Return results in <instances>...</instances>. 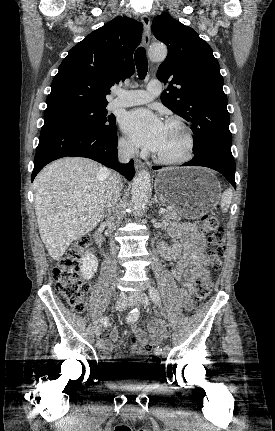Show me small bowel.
<instances>
[{"label": "small bowel", "instance_id": "c3829d8e", "mask_svg": "<svg viewBox=\"0 0 275 431\" xmlns=\"http://www.w3.org/2000/svg\"><path fill=\"white\" fill-rule=\"evenodd\" d=\"M172 237L180 239L173 244L161 243L160 256L167 261L178 260L171 270V277L183 282V288L178 291L180 302L184 308L191 306L190 296L194 292V283L198 279L209 260L204 253L205 236L194 223H172L169 227ZM147 333L139 332L138 353L145 354V346L160 343L167 336V329L161 321L151 320L146 324ZM118 339V329L111 328L98 340V348L103 355L115 349Z\"/></svg>", "mask_w": 275, "mask_h": 431}]
</instances>
